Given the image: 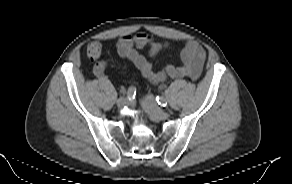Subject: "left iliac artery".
<instances>
[{
	"mask_svg": "<svg viewBox=\"0 0 292 184\" xmlns=\"http://www.w3.org/2000/svg\"><path fill=\"white\" fill-rule=\"evenodd\" d=\"M156 101H157V103H158L159 105H161V106H166V105H167V100H166V98L163 97V96H157V97H156Z\"/></svg>",
	"mask_w": 292,
	"mask_h": 184,
	"instance_id": "1",
	"label": "left iliac artery"
}]
</instances>
